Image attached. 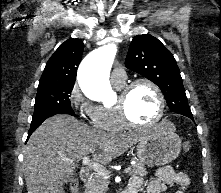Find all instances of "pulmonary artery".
I'll list each match as a JSON object with an SVG mask.
<instances>
[{
  "label": "pulmonary artery",
  "mask_w": 221,
  "mask_h": 193,
  "mask_svg": "<svg viewBox=\"0 0 221 193\" xmlns=\"http://www.w3.org/2000/svg\"><path fill=\"white\" fill-rule=\"evenodd\" d=\"M127 74L123 67H116L111 73V81L113 84L122 85L126 81Z\"/></svg>",
  "instance_id": "obj_1"
}]
</instances>
